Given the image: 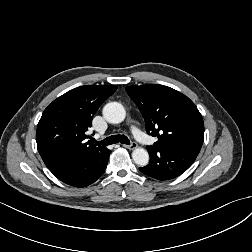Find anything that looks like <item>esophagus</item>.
I'll return each mask as SVG.
<instances>
[{
  "instance_id": "34e87169",
  "label": "esophagus",
  "mask_w": 252,
  "mask_h": 252,
  "mask_svg": "<svg viewBox=\"0 0 252 252\" xmlns=\"http://www.w3.org/2000/svg\"><path fill=\"white\" fill-rule=\"evenodd\" d=\"M125 148L133 150L135 148H137V143L136 142H132L130 145H123Z\"/></svg>"
}]
</instances>
